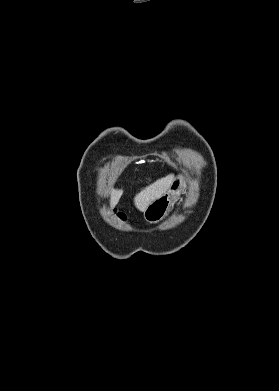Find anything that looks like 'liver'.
<instances>
[{
  "label": "liver",
  "mask_w": 279,
  "mask_h": 391,
  "mask_svg": "<svg viewBox=\"0 0 279 391\" xmlns=\"http://www.w3.org/2000/svg\"><path fill=\"white\" fill-rule=\"evenodd\" d=\"M173 180L174 175L171 174L162 179L157 180L153 184L141 190L134 198L135 206L137 207V209L144 212L153 201L167 193ZM122 193V190L111 191V207H114L118 203Z\"/></svg>",
  "instance_id": "obj_1"
}]
</instances>
